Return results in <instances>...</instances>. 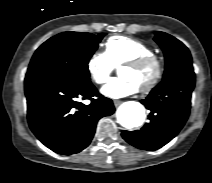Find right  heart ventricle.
Returning a JSON list of instances; mask_svg holds the SVG:
<instances>
[{
	"label": "right heart ventricle",
	"mask_w": 212,
	"mask_h": 183,
	"mask_svg": "<svg viewBox=\"0 0 212 183\" xmlns=\"http://www.w3.org/2000/svg\"><path fill=\"white\" fill-rule=\"evenodd\" d=\"M105 53L115 67L144 55H154V50L144 42L125 36L109 38L105 44Z\"/></svg>",
	"instance_id": "right-heart-ventricle-1"
}]
</instances>
